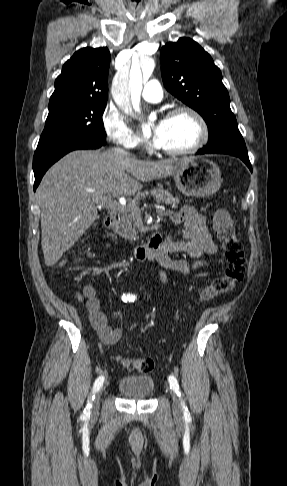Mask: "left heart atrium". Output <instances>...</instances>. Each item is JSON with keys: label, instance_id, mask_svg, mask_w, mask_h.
<instances>
[{"label": "left heart atrium", "instance_id": "left-heart-atrium-1", "mask_svg": "<svg viewBox=\"0 0 287 486\" xmlns=\"http://www.w3.org/2000/svg\"><path fill=\"white\" fill-rule=\"evenodd\" d=\"M161 129H162V121L160 123H158L157 127L155 128V130L153 132L152 141H153L154 145H156V146H159V144H160Z\"/></svg>", "mask_w": 287, "mask_h": 486}]
</instances>
